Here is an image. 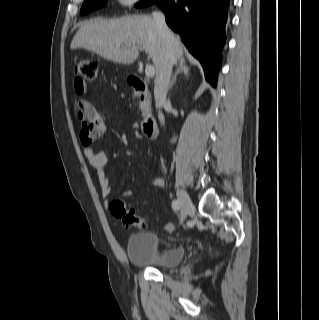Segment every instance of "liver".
Listing matches in <instances>:
<instances>
[{
    "instance_id": "6515ba94",
    "label": "liver",
    "mask_w": 319,
    "mask_h": 320,
    "mask_svg": "<svg viewBox=\"0 0 319 320\" xmlns=\"http://www.w3.org/2000/svg\"><path fill=\"white\" fill-rule=\"evenodd\" d=\"M173 37L176 62L183 58V45L179 36ZM70 48H83L104 59L128 65L138 58L140 50H145L155 65L156 78L165 51L157 25L150 15L86 21L74 36Z\"/></svg>"
}]
</instances>
